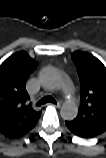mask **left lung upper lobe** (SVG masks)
<instances>
[{
    "label": "left lung upper lobe",
    "mask_w": 106,
    "mask_h": 158,
    "mask_svg": "<svg viewBox=\"0 0 106 158\" xmlns=\"http://www.w3.org/2000/svg\"><path fill=\"white\" fill-rule=\"evenodd\" d=\"M80 79L81 105L77 117L66 122L75 134L92 138L106 131V68L95 56L72 54Z\"/></svg>",
    "instance_id": "left-lung-upper-lobe-1"
}]
</instances>
